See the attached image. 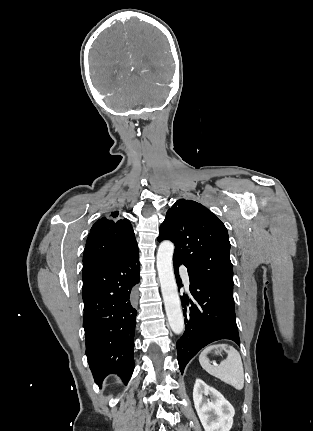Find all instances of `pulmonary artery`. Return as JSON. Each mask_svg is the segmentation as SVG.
Masks as SVG:
<instances>
[{"label":"pulmonary artery","mask_w":313,"mask_h":431,"mask_svg":"<svg viewBox=\"0 0 313 431\" xmlns=\"http://www.w3.org/2000/svg\"><path fill=\"white\" fill-rule=\"evenodd\" d=\"M180 273L182 275V278H183L185 285L189 286L190 285V279H189V274H188L187 268L184 266H181L180 267Z\"/></svg>","instance_id":"1"}]
</instances>
